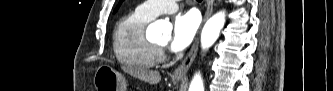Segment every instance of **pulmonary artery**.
Returning a JSON list of instances; mask_svg holds the SVG:
<instances>
[{
  "mask_svg": "<svg viewBox=\"0 0 333 91\" xmlns=\"http://www.w3.org/2000/svg\"><path fill=\"white\" fill-rule=\"evenodd\" d=\"M177 9L176 1H146L137 7L138 12L149 18L174 13Z\"/></svg>",
  "mask_w": 333,
  "mask_h": 91,
  "instance_id": "pulmonary-artery-1",
  "label": "pulmonary artery"
}]
</instances>
